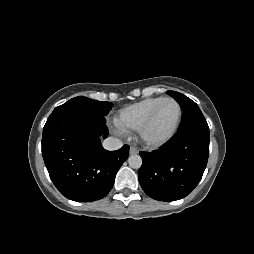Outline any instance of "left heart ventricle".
<instances>
[{"label": "left heart ventricle", "mask_w": 254, "mask_h": 254, "mask_svg": "<svg viewBox=\"0 0 254 254\" xmlns=\"http://www.w3.org/2000/svg\"><path fill=\"white\" fill-rule=\"evenodd\" d=\"M177 117V105L173 102L164 103L148 128L147 137L151 140H159L165 137L174 127Z\"/></svg>", "instance_id": "b2bd125f"}]
</instances>
